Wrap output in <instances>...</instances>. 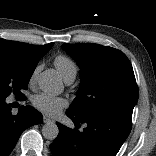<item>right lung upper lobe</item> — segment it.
I'll return each mask as SVG.
<instances>
[{
    "label": "right lung upper lobe",
    "instance_id": "obj_1",
    "mask_svg": "<svg viewBox=\"0 0 156 156\" xmlns=\"http://www.w3.org/2000/svg\"><path fill=\"white\" fill-rule=\"evenodd\" d=\"M52 46L53 43L37 46L0 38V53L7 54L17 59L20 63L31 67H36L38 61Z\"/></svg>",
    "mask_w": 156,
    "mask_h": 156
}]
</instances>
